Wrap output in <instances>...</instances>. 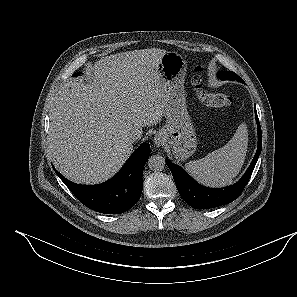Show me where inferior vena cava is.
I'll use <instances>...</instances> for the list:
<instances>
[{"instance_id": "inferior-vena-cava-1", "label": "inferior vena cava", "mask_w": 297, "mask_h": 297, "mask_svg": "<svg viewBox=\"0 0 297 297\" xmlns=\"http://www.w3.org/2000/svg\"><path fill=\"white\" fill-rule=\"evenodd\" d=\"M141 134L139 129H131L126 135V140L133 143L141 138Z\"/></svg>"}]
</instances>
